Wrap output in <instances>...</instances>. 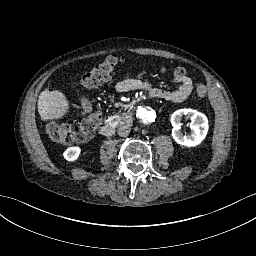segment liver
Segmentation results:
<instances>
[{"instance_id": "1", "label": "liver", "mask_w": 256, "mask_h": 256, "mask_svg": "<svg viewBox=\"0 0 256 256\" xmlns=\"http://www.w3.org/2000/svg\"><path fill=\"white\" fill-rule=\"evenodd\" d=\"M38 112L42 120H53L62 118L69 109L68 100L65 95L58 91L45 89L39 95L37 102Z\"/></svg>"}]
</instances>
